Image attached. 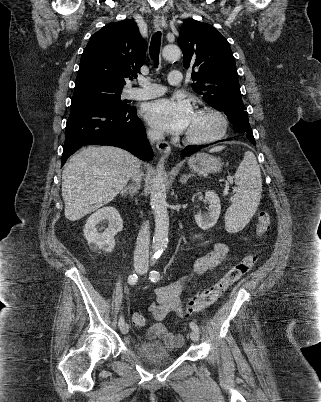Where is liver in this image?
Segmentation results:
<instances>
[{
    "instance_id": "1",
    "label": "liver",
    "mask_w": 321,
    "mask_h": 402,
    "mask_svg": "<svg viewBox=\"0 0 321 402\" xmlns=\"http://www.w3.org/2000/svg\"><path fill=\"white\" fill-rule=\"evenodd\" d=\"M140 161L112 146H88L73 155L62 173L64 214L76 221L113 200Z\"/></svg>"
}]
</instances>
